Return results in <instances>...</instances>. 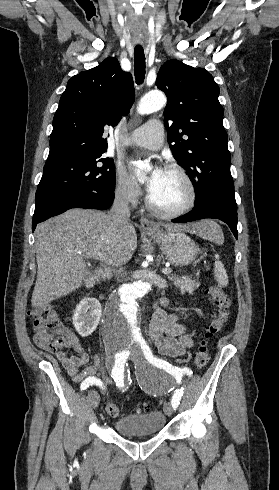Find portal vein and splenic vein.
Wrapping results in <instances>:
<instances>
[{
	"mask_svg": "<svg viewBox=\"0 0 279 490\" xmlns=\"http://www.w3.org/2000/svg\"><path fill=\"white\" fill-rule=\"evenodd\" d=\"M96 260H102V262H104L103 256H98V258H96ZM108 264H112V262H108ZM162 272H163V274H170L171 268H165V270H162Z\"/></svg>",
	"mask_w": 279,
	"mask_h": 490,
	"instance_id": "18ae733b",
	"label": "portal vein and splenic vein"
}]
</instances>
